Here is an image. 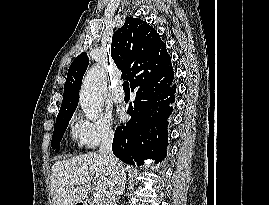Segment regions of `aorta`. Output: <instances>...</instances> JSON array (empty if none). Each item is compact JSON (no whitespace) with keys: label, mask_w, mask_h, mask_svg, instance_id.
Segmentation results:
<instances>
[{"label":"aorta","mask_w":269,"mask_h":205,"mask_svg":"<svg viewBox=\"0 0 269 205\" xmlns=\"http://www.w3.org/2000/svg\"><path fill=\"white\" fill-rule=\"evenodd\" d=\"M105 91V74L94 66L87 72L80 90V106L90 120L97 119L102 112Z\"/></svg>","instance_id":"aorta-1"}]
</instances>
